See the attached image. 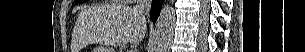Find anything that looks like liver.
Returning <instances> with one entry per match:
<instances>
[{
  "instance_id": "obj_1",
  "label": "liver",
  "mask_w": 305,
  "mask_h": 52,
  "mask_svg": "<svg viewBox=\"0 0 305 52\" xmlns=\"http://www.w3.org/2000/svg\"><path fill=\"white\" fill-rule=\"evenodd\" d=\"M79 20L84 38L92 43L137 44L146 33V21L136 7L120 4L92 7Z\"/></svg>"
}]
</instances>
